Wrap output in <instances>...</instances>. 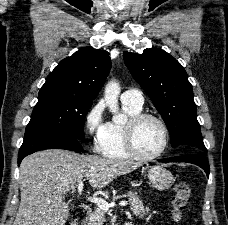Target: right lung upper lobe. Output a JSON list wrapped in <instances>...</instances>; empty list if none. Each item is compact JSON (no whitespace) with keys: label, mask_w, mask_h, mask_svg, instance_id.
I'll list each match as a JSON object with an SVG mask.
<instances>
[{"label":"right lung upper lobe","mask_w":228,"mask_h":225,"mask_svg":"<svg viewBox=\"0 0 228 225\" xmlns=\"http://www.w3.org/2000/svg\"><path fill=\"white\" fill-rule=\"evenodd\" d=\"M111 68L109 53L83 47L63 59L51 72L42 88H58L95 99Z\"/></svg>","instance_id":"obj_1"}]
</instances>
